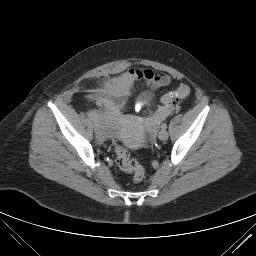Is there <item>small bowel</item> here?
I'll return each mask as SVG.
<instances>
[{"label": "small bowel", "mask_w": 256, "mask_h": 256, "mask_svg": "<svg viewBox=\"0 0 256 256\" xmlns=\"http://www.w3.org/2000/svg\"><path fill=\"white\" fill-rule=\"evenodd\" d=\"M139 81L151 89H158L168 85L169 75L154 74L151 70L130 69L104 82L91 94V99L99 106L110 110L117 118H121L122 110L133 93L135 84ZM176 109L160 107L153 118L151 126L163 121Z\"/></svg>", "instance_id": "c3829d8e"}]
</instances>
